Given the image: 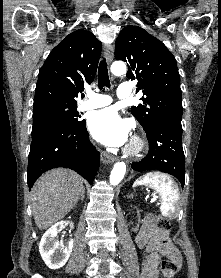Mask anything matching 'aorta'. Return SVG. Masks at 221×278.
<instances>
[{
  "label": "aorta",
  "mask_w": 221,
  "mask_h": 278,
  "mask_svg": "<svg viewBox=\"0 0 221 278\" xmlns=\"http://www.w3.org/2000/svg\"><path fill=\"white\" fill-rule=\"evenodd\" d=\"M127 68H126V64L124 62L121 61H116L111 65V72L112 74L116 75V76H121L126 74ZM126 172V164L125 162H117L110 174V184L111 185H118Z\"/></svg>",
  "instance_id": "762f6f07"
}]
</instances>
